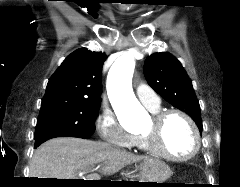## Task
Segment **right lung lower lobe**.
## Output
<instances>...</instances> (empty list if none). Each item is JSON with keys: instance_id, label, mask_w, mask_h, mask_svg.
Instances as JSON below:
<instances>
[{"instance_id": "1", "label": "right lung lower lobe", "mask_w": 240, "mask_h": 187, "mask_svg": "<svg viewBox=\"0 0 240 187\" xmlns=\"http://www.w3.org/2000/svg\"><path fill=\"white\" fill-rule=\"evenodd\" d=\"M55 137H73V136H69L66 134H50L47 136H43L41 138L35 139V148H37L39 145H41L43 142L51 139V138H55Z\"/></svg>"}]
</instances>
